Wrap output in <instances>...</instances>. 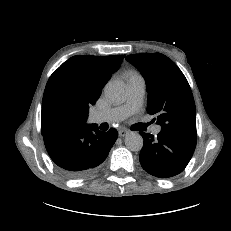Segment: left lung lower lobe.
<instances>
[{
    "mask_svg": "<svg viewBox=\"0 0 231 231\" xmlns=\"http://www.w3.org/2000/svg\"><path fill=\"white\" fill-rule=\"evenodd\" d=\"M144 145L139 160L142 168L159 178H169L181 173L189 163L196 147L197 136L161 130L155 138L140 132Z\"/></svg>",
    "mask_w": 231,
    "mask_h": 231,
    "instance_id": "left-lung-lower-lobe-1",
    "label": "left lung lower lobe"
}]
</instances>
